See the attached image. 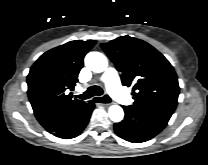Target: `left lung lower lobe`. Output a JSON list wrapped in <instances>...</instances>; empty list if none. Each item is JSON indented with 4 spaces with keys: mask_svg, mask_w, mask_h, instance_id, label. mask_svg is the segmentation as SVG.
<instances>
[{
    "mask_svg": "<svg viewBox=\"0 0 208 165\" xmlns=\"http://www.w3.org/2000/svg\"><path fill=\"white\" fill-rule=\"evenodd\" d=\"M124 120L114 124L115 133L124 140L141 143L150 140L165 128L173 113L123 106Z\"/></svg>",
    "mask_w": 208,
    "mask_h": 165,
    "instance_id": "obj_1",
    "label": "left lung lower lobe"
}]
</instances>
